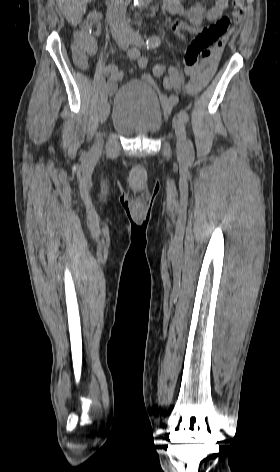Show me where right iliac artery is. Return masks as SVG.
Returning a JSON list of instances; mask_svg holds the SVG:
<instances>
[{"mask_svg": "<svg viewBox=\"0 0 280 472\" xmlns=\"http://www.w3.org/2000/svg\"><path fill=\"white\" fill-rule=\"evenodd\" d=\"M128 56L130 59H136L140 56V52L138 49L136 48H131L128 50ZM118 71V68L115 66V65H108L105 69H104V74L105 75H114L116 72ZM107 100V84H106V81L105 79L102 80V83H101V90H100V98H99V103L102 104L103 102H105Z\"/></svg>", "mask_w": 280, "mask_h": 472, "instance_id": "82829eb1", "label": "right iliac artery"}]
</instances>
